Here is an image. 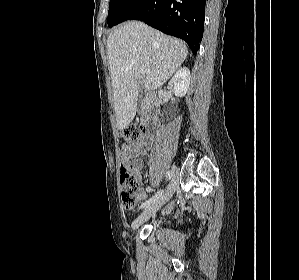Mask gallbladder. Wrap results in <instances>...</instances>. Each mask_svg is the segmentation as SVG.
Wrapping results in <instances>:
<instances>
[{"label": "gallbladder", "instance_id": "gallbladder-1", "mask_svg": "<svg viewBox=\"0 0 299 280\" xmlns=\"http://www.w3.org/2000/svg\"><path fill=\"white\" fill-rule=\"evenodd\" d=\"M144 97H145V93H144L143 91H141V92L139 93V96H138V104H139V105H140L141 102L143 101Z\"/></svg>", "mask_w": 299, "mask_h": 280}]
</instances>
